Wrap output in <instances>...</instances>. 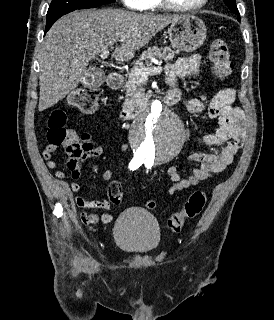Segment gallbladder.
<instances>
[{
    "label": "gallbladder",
    "instance_id": "1",
    "mask_svg": "<svg viewBox=\"0 0 274 320\" xmlns=\"http://www.w3.org/2000/svg\"><path fill=\"white\" fill-rule=\"evenodd\" d=\"M107 74L103 68H87L84 78H80V85H86V89H91V85H103L106 82Z\"/></svg>",
    "mask_w": 274,
    "mask_h": 320
}]
</instances>
